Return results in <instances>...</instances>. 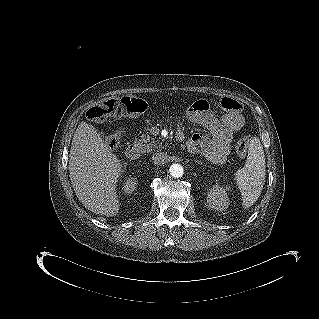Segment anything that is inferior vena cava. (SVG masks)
<instances>
[{
	"mask_svg": "<svg viewBox=\"0 0 319 319\" xmlns=\"http://www.w3.org/2000/svg\"><path fill=\"white\" fill-rule=\"evenodd\" d=\"M152 161L155 165H162L168 161V155L163 152L154 153Z\"/></svg>",
	"mask_w": 319,
	"mask_h": 319,
	"instance_id": "obj_1",
	"label": "inferior vena cava"
}]
</instances>
